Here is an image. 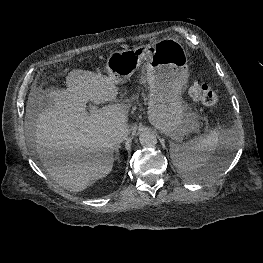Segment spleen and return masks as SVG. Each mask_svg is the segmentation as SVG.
Here are the masks:
<instances>
[{"label": "spleen", "instance_id": "spleen-1", "mask_svg": "<svg viewBox=\"0 0 263 263\" xmlns=\"http://www.w3.org/2000/svg\"><path fill=\"white\" fill-rule=\"evenodd\" d=\"M238 145L239 135L236 130L217 128L186 143L172 144L170 156L179 173L192 182H197L215 178L225 171L230 163V155ZM217 148H222L226 155L219 161L215 172L204 174L200 168L208 162Z\"/></svg>", "mask_w": 263, "mask_h": 263}]
</instances>
